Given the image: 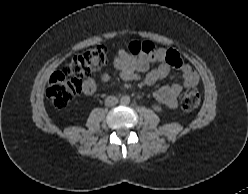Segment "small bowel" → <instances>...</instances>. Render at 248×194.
<instances>
[{
  "label": "small bowel",
  "mask_w": 248,
  "mask_h": 194,
  "mask_svg": "<svg viewBox=\"0 0 248 194\" xmlns=\"http://www.w3.org/2000/svg\"><path fill=\"white\" fill-rule=\"evenodd\" d=\"M165 50L157 49L153 53H139L133 55L129 49L119 48L111 60L112 69L117 70L124 80L140 81L145 85H152L160 79L167 77L171 65L165 61ZM154 62H159L152 67ZM183 74V83L165 85L153 92L154 99L169 108L177 106V99L184 87H195L198 84V75L195 70L180 57V64L177 66ZM112 70L103 72L101 80L106 82L111 77ZM98 90L95 79L87 78L82 83V91L86 95H92Z\"/></svg>",
  "instance_id": "obj_1"
}]
</instances>
